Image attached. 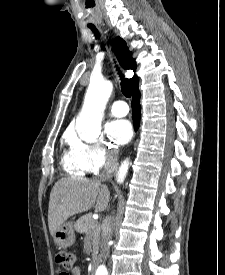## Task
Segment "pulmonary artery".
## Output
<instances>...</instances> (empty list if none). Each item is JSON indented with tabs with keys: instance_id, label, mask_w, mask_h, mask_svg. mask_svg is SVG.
<instances>
[{
	"instance_id": "1",
	"label": "pulmonary artery",
	"mask_w": 225,
	"mask_h": 275,
	"mask_svg": "<svg viewBox=\"0 0 225 275\" xmlns=\"http://www.w3.org/2000/svg\"><path fill=\"white\" fill-rule=\"evenodd\" d=\"M129 108L128 105L124 101H115L111 106H110V113L113 116L116 117H122L128 114Z\"/></svg>"
}]
</instances>
